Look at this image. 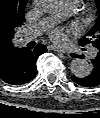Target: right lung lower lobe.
<instances>
[{
	"label": "right lung lower lobe",
	"mask_w": 100,
	"mask_h": 118,
	"mask_svg": "<svg viewBox=\"0 0 100 118\" xmlns=\"http://www.w3.org/2000/svg\"><path fill=\"white\" fill-rule=\"evenodd\" d=\"M46 52V46L38 44L34 49L14 48L0 55V78L11 85H21L36 76V62Z\"/></svg>",
	"instance_id": "right-lung-lower-lobe-1"
}]
</instances>
